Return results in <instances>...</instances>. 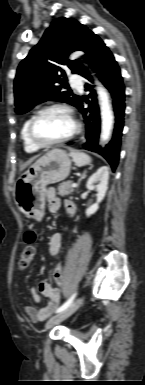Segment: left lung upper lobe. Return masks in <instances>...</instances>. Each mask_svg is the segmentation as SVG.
Returning a JSON list of instances; mask_svg holds the SVG:
<instances>
[{
  "label": "left lung upper lobe",
  "instance_id": "obj_1",
  "mask_svg": "<svg viewBox=\"0 0 145 385\" xmlns=\"http://www.w3.org/2000/svg\"><path fill=\"white\" fill-rule=\"evenodd\" d=\"M94 33L78 21L58 18L51 23L39 43L19 64L15 81V112L23 114L38 103L53 100L78 108L82 98L67 88L66 69L79 74L82 64L68 55L81 50L87 57Z\"/></svg>",
  "mask_w": 145,
  "mask_h": 385
}]
</instances>
